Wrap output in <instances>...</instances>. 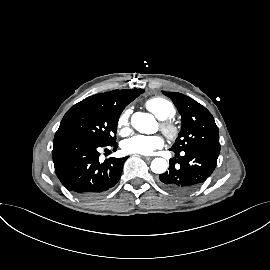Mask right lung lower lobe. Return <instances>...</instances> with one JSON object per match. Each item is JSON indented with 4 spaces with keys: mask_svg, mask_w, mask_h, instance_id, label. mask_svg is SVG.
I'll use <instances>...</instances> for the list:
<instances>
[{
    "mask_svg": "<svg viewBox=\"0 0 270 270\" xmlns=\"http://www.w3.org/2000/svg\"><path fill=\"white\" fill-rule=\"evenodd\" d=\"M116 150L117 144L108 145ZM107 146L77 136L55 137L53 162L64 187L78 197L91 199L112 188L120 179L128 157L99 161V150Z\"/></svg>",
    "mask_w": 270,
    "mask_h": 270,
    "instance_id": "obj_1",
    "label": "right lung lower lobe"
}]
</instances>
